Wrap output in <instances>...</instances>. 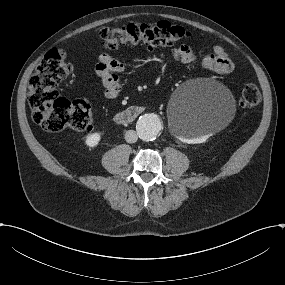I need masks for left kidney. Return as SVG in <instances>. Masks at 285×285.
Returning a JSON list of instances; mask_svg holds the SVG:
<instances>
[{"instance_id": "obj_1", "label": "left kidney", "mask_w": 285, "mask_h": 285, "mask_svg": "<svg viewBox=\"0 0 285 285\" xmlns=\"http://www.w3.org/2000/svg\"><path fill=\"white\" fill-rule=\"evenodd\" d=\"M204 140H206V138L202 137V138H199V139H195L194 141H195V142H202V141H204Z\"/></svg>"}]
</instances>
